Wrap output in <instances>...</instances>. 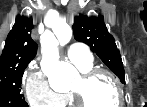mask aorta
Instances as JSON below:
<instances>
[{
	"mask_svg": "<svg viewBox=\"0 0 147 107\" xmlns=\"http://www.w3.org/2000/svg\"><path fill=\"white\" fill-rule=\"evenodd\" d=\"M71 36V30L66 29L64 39L69 41ZM58 45V40L50 31H46L41 36V69L48 76L50 86L54 90L67 88L78 76V71L73 65L59 60Z\"/></svg>",
	"mask_w": 147,
	"mask_h": 107,
	"instance_id": "obj_1",
	"label": "aorta"
}]
</instances>
